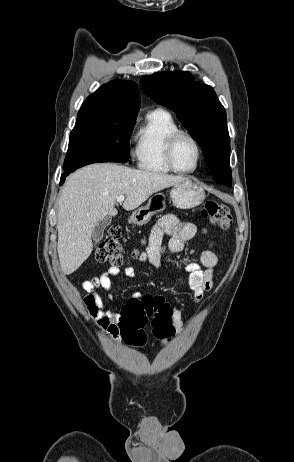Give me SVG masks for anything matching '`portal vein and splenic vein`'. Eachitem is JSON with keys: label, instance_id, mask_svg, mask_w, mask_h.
<instances>
[{"label": "portal vein and splenic vein", "instance_id": "18ae733b", "mask_svg": "<svg viewBox=\"0 0 294 462\" xmlns=\"http://www.w3.org/2000/svg\"><path fill=\"white\" fill-rule=\"evenodd\" d=\"M124 199H125L124 195H120V196H118V198H117V202H123Z\"/></svg>", "mask_w": 294, "mask_h": 462}]
</instances>
